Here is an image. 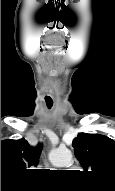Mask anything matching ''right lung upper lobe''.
Masks as SVG:
<instances>
[{"label":"right lung upper lobe","instance_id":"right-lung-upper-lobe-1","mask_svg":"<svg viewBox=\"0 0 115 191\" xmlns=\"http://www.w3.org/2000/svg\"><path fill=\"white\" fill-rule=\"evenodd\" d=\"M41 145L32 147L24 139L1 141V188L20 182L30 167L37 166Z\"/></svg>","mask_w":115,"mask_h":191}]
</instances>
